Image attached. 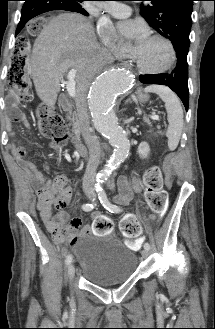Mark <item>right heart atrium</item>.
<instances>
[{
  "label": "right heart atrium",
  "instance_id": "1",
  "mask_svg": "<svg viewBox=\"0 0 215 329\" xmlns=\"http://www.w3.org/2000/svg\"><path fill=\"white\" fill-rule=\"evenodd\" d=\"M97 31L103 43L112 48L116 56H123V52L118 46L114 30L108 22H99Z\"/></svg>",
  "mask_w": 215,
  "mask_h": 329
}]
</instances>
